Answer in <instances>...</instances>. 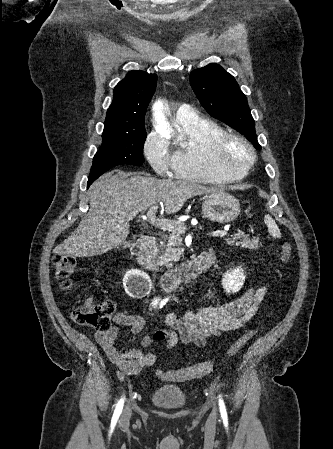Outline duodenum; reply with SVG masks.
Masks as SVG:
<instances>
[{
    "label": "duodenum",
    "instance_id": "obj_1",
    "mask_svg": "<svg viewBox=\"0 0 333 449\" xmlns=\"http://www.w3.org/2000/svg\"><path fill=\"white\" fill-rule=\"evenodd\" d=\"M157 248V240L146 236L140 239L132 248V254L136 257L139 265L144 269L156 272L154 254ZM213 258L210 253H201L193 260L183 266L162 274L159 278V286L165 292H171L182 284L204 273L212 264Z\"/></svg>",
    "mask_w": 333,
    "mask_h": 449
}]
</instances>
